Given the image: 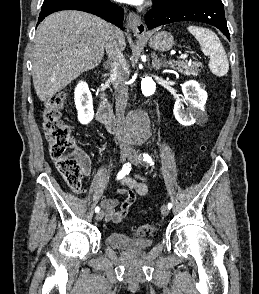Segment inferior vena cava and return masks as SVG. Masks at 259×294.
<instances>
[{"instance_id":"602c4592","label":"inferior vena cava","mask_w":259,"mask_h":294,"mask_svg":"<svg viewBox=\"0 0 259 294\" xmlns=\"http://www.w3.org/2000/svg\"><path fill=\"white\" fill-rule=\"evenodd\" d=\"M119 32L120 30L115 28L113 38L107 43L105 49L110 60L111 71L114 77L116 118L119 126L117 130V138L121 144H128L129 141L124 136L122 129L128 100V75L126 73V61L117 39Z\"/></svg>"}]
</instances>
